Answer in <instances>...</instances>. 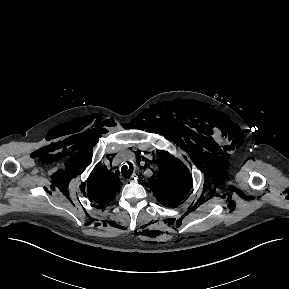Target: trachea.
<instances>
[{"label":"trachea","instance_id":"obj_1","mask_svg":"<svg viewBox=\"0 0 289 289\" xmlns=\"http://www.w3.org/2000/svg\"><path fill=\"white\" fill-rule=\"evenodd\" d=\"M133 173V165L129 163L128 165H124L122 167V175L126 178H129Z\"/></svg>","mask_w":289,"mask_h":289}]
</instances>
